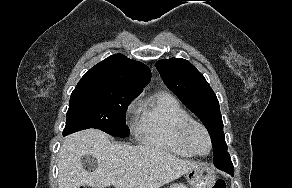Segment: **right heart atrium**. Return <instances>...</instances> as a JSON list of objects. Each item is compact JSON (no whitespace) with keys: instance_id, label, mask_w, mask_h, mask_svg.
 Instances as JSON below:
<instances>
[{"instance_id":"1","label":"right heart atrium","mask_w":292,"mask_h":188,"mask_svg":"<svg viewBox=\"0 0 292 188\" xmlns=\"http://www.w3.org/2000/svg\"><path fill=\"white\" fill-rule=\"evenodd\" d=\"M135 109V103H131L129 106V111H133Z\"/></svg>"}]
</instances>
